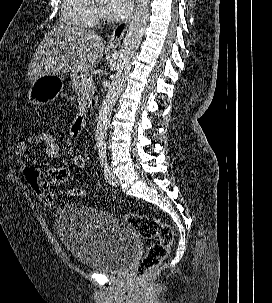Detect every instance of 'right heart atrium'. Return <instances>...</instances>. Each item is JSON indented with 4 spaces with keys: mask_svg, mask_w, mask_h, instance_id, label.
<instances>
[{
    "mask_svg": "<svg viewBox=\"0 0 272 303\" xmlns=\"http://www.w3.org/2000/svg\"><path fill=\"white\" fill-rule=\"evenodd\" d=\"M102 17V13L99 9L94 10V22L98 21Z\"/></svg>",
    "mask_w": 272,
    "mask_h": 303,
    "instance_id": "d8ad5b80",
    "label": "right heart atrium"
}]
</instances>
